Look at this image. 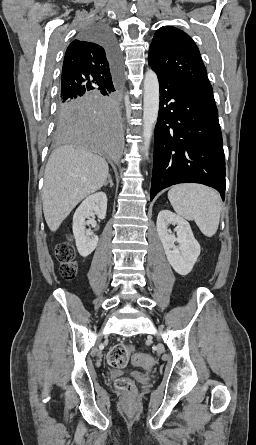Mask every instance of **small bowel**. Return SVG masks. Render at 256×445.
I'll return each instance as SVG.
<instances>
[{"label": "small bowel", "instance_id": "1", "mask_svg": "<svg viewBox=\"0 0 256 445\" xmlns=\"http://www.w3.org/2000/svg\"><path fill=\"white\" fill-rule=\"evenodd\" d=\"M140 354H143V353H140ZM141 365H142V367H143L144 369H149L150 366H151V362H150V363L141 364Z\"/></svg>", "mask_w": 256, "mask_h": 445}]
</instances>
